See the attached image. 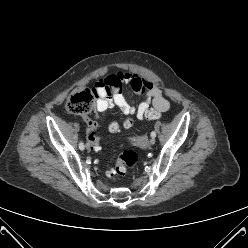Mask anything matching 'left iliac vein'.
Segmentation results:
<instances>
[{
	"mask_svg": "<svg viewBox=\"0 0 248 248\" xmlns=\"http://www.w3.org/2000/svg\"><path fill=\"white\" fill-rule=\"evenodd\" d=\"M155 144V139L154 138H151L150 140V146H153Z\"/></svg>",
	"mask_w": 248,
	"mask_h": 248,
	"instance_id": "obj_1",
	"label": "left iliac vein"
}]
</instances>
